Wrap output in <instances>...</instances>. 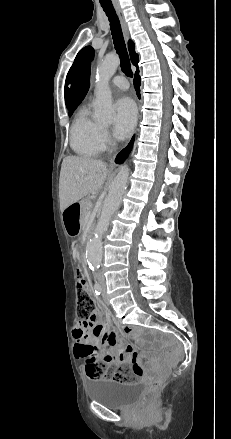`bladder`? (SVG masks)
<instances>
[{"label": "bladder", "instance_id": "31cf9c89", "mask_svg": "<svg viewBox=\"0 0 231 439\" xmlns=\"http://www.w3.org/2000/svg\"><path fill=\"white\" fill-rule=\"evenodd\" d=\"M141 391L142 384L138 381L117 383L107 379H94L87 384L88 398L109 408L128 405L141 394Z\"/></svg>", "mask_w": 231, "mask_h": 439}]
</instances>
